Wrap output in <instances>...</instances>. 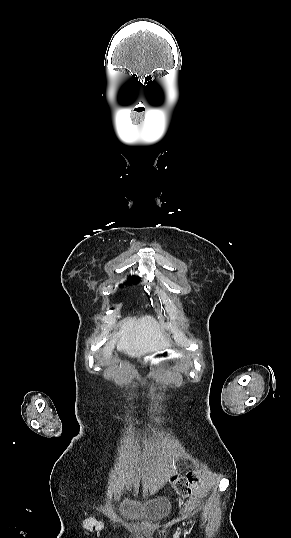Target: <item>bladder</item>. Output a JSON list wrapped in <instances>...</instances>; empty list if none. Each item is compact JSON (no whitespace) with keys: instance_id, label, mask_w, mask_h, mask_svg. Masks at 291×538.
Instances as JSON below:
<instances>
[{"instance_id":"1","label":"bladder","mask_w":291,"mask_h":538,"mask_svg":"<svg viewBox=\"0 0 291 538\" xmlns=\"http://www.w3.org/2000/svg\"><path fill=\"white\" fill-rule=\"evenodd\" d=\"M117 511L121 521L136 528H155L170 516L171 502L165 495L149 498L119 496Z\"/></svg>"}]
</instances>
